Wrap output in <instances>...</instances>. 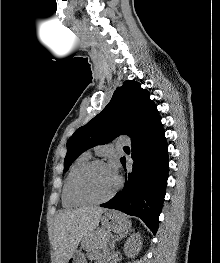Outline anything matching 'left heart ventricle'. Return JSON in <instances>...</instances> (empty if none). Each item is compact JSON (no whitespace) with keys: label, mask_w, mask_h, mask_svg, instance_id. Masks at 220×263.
Wrapping results in <instances>:
<instances>
[{"label":"left heart ventricle","mask_w":220,"mask_h":263,"mask_svg":"<svg viewBox=\"0 0 220 263\" xmlns=\"http://www.w3.org/2000/svg\"><path fill=\"white\" fill-rule=\"evenodd\" d=\"M117 184V175L107 165H97L88 170L79 180L81 195L98 199L108 195Z\"/></svg>","instance_id":"1"}]
</instances>
